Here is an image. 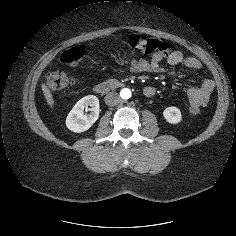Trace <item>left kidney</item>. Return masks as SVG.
<instances>
[{
    "label": "left kidney",
    "mask_w": 236,
    "mask_h": 236,
    "mask_svg": "<svg viewBox=\"0 0 236 236\" xmlns=\"http://www.w3.org/2000/svg\"><path fill=\"white\" fill-rule=\"evenodd\" d=\"M163 116L165 120L171 124H178L179 122L182 121L181 111L174 106L167 107L163 111Z\"/></svg>",
    "instance_id": "obj_1"
}]
</instances>
